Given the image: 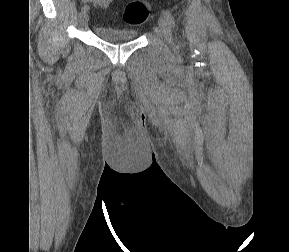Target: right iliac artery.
<instances>
[{"mask_svg":"<svg viewBox=\"0 0 289 252\" xmlns=\"http://www.w3.org/2000/svg\"><path fill=\"white\" fill-rule=\"evenodd\" d=\"M81 10L83 12H87L89 10V6L88 5H84Z\"/></svg>","mask_w":289,"mask_h":252,"instance_id":"82829eb1","label":"right iliac artery"}]
</instances>
